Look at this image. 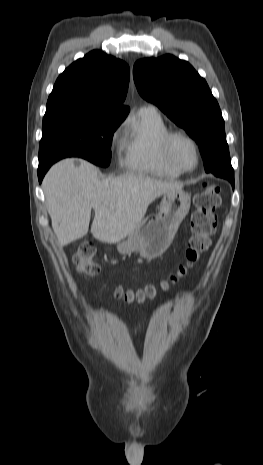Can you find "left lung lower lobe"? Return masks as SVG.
<instances>
[{
    "mask_svg": "<svg viewBox=\"0 0 263 465\" xmlns=\"http://www.w3.org/2000/svg\"><path fill=\"white\" fill-rule=\"evenodd\" d=\"M204 159V164H205V170L206 172H211V170L214 168V166L217 164L216 160H212L210 158H203Z\"/></svg>",
    "mask_w": 263,
    "mask_h": 465,
    "instance_id": "obj_1",
    "label": "left lung lower lobe"
}]
</instances>
